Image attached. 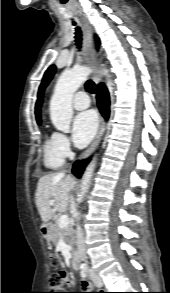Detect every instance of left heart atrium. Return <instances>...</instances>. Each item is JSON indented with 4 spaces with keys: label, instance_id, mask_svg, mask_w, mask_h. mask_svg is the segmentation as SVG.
<instances>
[{
    "label": "left heart atrium",
    "instance_id": "obj_1",
    "mask_svg": "<svg viewBox=\"0 0 170 293\" xmlns=\"http://www.w3.org/2000/svg\"><path fill=\"white\" fill-rule=\"evenodd\" d=\"M98 119L93 111L78 114L72 123V139L79 148L85 147L95 136Z\"/></svg>",
    "mask_w": 170,
    "mask_h": 293
}]
</instances>
